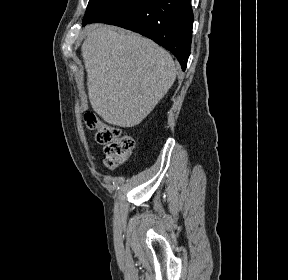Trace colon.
<instances>
[{
  "label": "colon",
  "instance_id": "colon-1",
  "mask_svg": "<svg viewBox=\"0 0 288 280\" xmlns=\"http://www.w3.org/2000/svg\"><path fill=\"white\" fill-rule=\"evenodd\" d=\"M88 128L95 132L96 141L104 146L103 164L114 169L124 164L134 148V139L113 125L98 119L92 113L85 115Z\"/></svg>",
  "mask_w": 288,
  "mask_h": 280
}]
</instances>
